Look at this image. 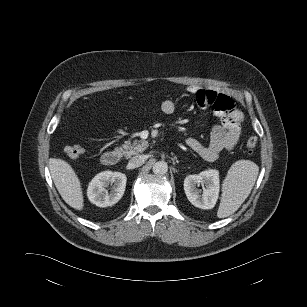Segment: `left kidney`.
I'll return each instance as SVG.
<instances>
[{
    "label": "left kidney",
    "instance_id": "left-kidney-1",
    "mask_svg": "<svg viewBox=\"0 0 307 307\" xmlns=\"http://www.w3.org/2000/svg\"><path fill=\"white\" fill-rule=\"evenodd\" d=\"M219 172L209 169L199 174L189 175L184 180V191L188 200L201 209H212L219 197ZM204 185L201 195L197 186Z\"/></svg>",
    "mask_w": 307,
    "mask_h": 307
}]
</instances>
